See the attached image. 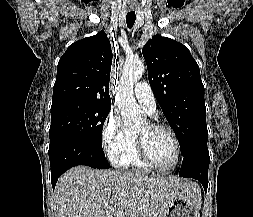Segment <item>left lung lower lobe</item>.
<instances>
[{
	"label": "left lung lower lobe",
	"instance_id": "0a47b994",
	"mask_svg": "<svg viewBox=\"0 0 253 217\" xmlns=\"http://www.w3.org/2000/svg\"><path fill=\"white\" fill-rule=\"evenodd\" d=\"M209 162L207 144H195L184 155L179 176L197 179L206 192Z\"/></svg>",
	"mask_w": 253,
	"mask_h": 217
}]
</instances>
